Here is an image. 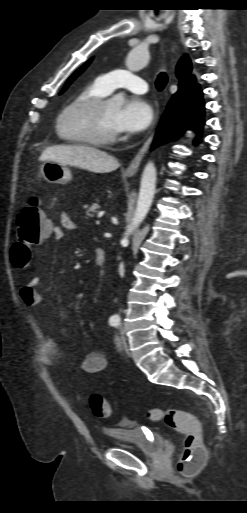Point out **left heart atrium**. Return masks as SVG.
I'll return each mask as SVG.
<instances>
[{"label": "left heart atrium", "instance_id": "left-heart-atrium-1", "mask_svg": "<svg viewBox=\"0 0 247 513\" xmlns=\"http://www.w3.org/2000/svg\"><path fill=\"white\" fill-rule=\"evenodd\" d=\"M153 121V109L142 98L132 97L126 100L114 119L117 133H136L146 129Z\"/></svg>", "mask_w": 247, "mask_h": 513}]
</instances>
